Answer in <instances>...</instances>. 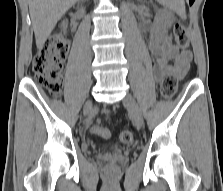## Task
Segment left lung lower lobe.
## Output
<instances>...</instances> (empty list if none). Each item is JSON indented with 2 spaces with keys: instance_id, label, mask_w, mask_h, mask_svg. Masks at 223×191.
Returning <instances> with one entry per match:
<instances>
[{
  "instance_id": "obj_1",
  "label": "left lung lower lobe",
  "mask_w": 223,
  "mask_h": 191,
  "mask_svg": "<svg viewBox=\"0 0 223 191\" xmlns=\"http://www.w3.org/2000/svg\"><path fill=\"white\" fill-rule=\"evenodd\" d=\"M194 2V0H190V4H192Z\"/></svg>"
}]
</instances>
